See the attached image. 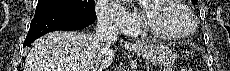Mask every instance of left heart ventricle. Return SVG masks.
I'll return each instance as SVG.
<instances>
[{
  "mask_svg": "<svg viewBox=\"0 0 230 71\" xmlns=\"http://www.w3.org/2000/svg\"><path fill=\"white\" fill-rule=\"evenodd\" d=\"M148 19L159 28L184 33L190 28V20L186 13L173 5L172 0H157L146 3Z\"/></svg>",
  "mask_w": 230,
  "mask_h": 71,
  "instance_id": "left-heart-ventricle-1",
  "label": "left heart ventricle"
}]
</instances>
